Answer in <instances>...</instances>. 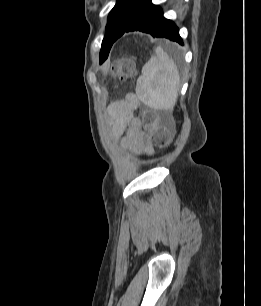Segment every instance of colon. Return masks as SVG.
<instances>
[{"mask_svg": "<svg viewBox=\"0 0 261 306\" xmlns=\"http://www.w3.org/2000/svg\"><path fill=\"white\" fill-rule=\"evenodd\" d=\"M133 70L134 66L130 61L121 60L116 64L113 73L117 76L128 77L133 73ZM145 122L152 130V142L158 147L167 145L169 140L167 126L159 125L157 119L151 116L145 117Z\"/></svg>", "mask_w": 261, "mask_h": 306, "instance_id": "colon-1", "label": "colon"}]
</instances>
